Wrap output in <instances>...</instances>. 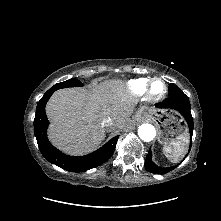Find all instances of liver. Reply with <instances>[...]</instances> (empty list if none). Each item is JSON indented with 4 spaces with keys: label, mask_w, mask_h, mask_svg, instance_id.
<instances>
[{
    "label": "liver",
    "mask_w": 221,
    "mask_h": 221,
    "mask_svg": "<svg viewBox=\"0 0 221 221\" xmlns=\"http://www.w3.org/2000/svg\"><path fill=\"white\" fill-rule=\"evenodd\" d=\"M137 99L129 96L120 80L94 84L90 89L66 88L56 91L46 105L50 120L49 139L71 155L87 154L105 139L103 120L111 118L116 127H131Z\"/></svg>",
    "instance_id": "1"
}]
</instances>
